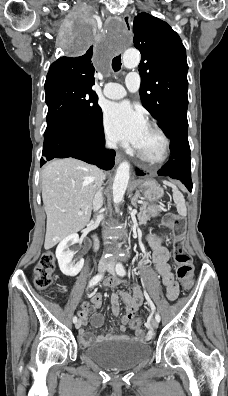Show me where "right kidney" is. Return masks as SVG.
Listing matches in <instances>:
<instances>
[{"label": "right kidney", "mask_w": 228, "mask_h": 396, "mask_svg": "<svg viewBox=\"0 0 228 396\" xmlns=\"http://www.w3.org/2000/svg\"><path fill=\"white\" fill-rule=\"evenodd\" d=\"M79 241L78 234L74 233L64 238L57 246L56 258L61 272L66 276H76L84 265V259L81 258L75 263L72 261L74 253L69 247Z\"/></svg>", "instance_id": "obj_1"}]
</instances>
